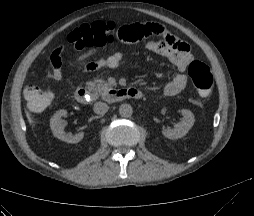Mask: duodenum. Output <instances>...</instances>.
<instances>
[{
	"label": "duodenum",
	"mask_w": 254,
	"mask_h": 216,
	"mask_svg": "<svg viewBox=\"0 0 254 216\" xmlns=\"http://www.w3.org/2000/svg\"><path fill=\"white\" fill-rule=\"evenodd\" d=\"M93 97V93L84 87L78 88L75 91V99L80 104H87ZM101 97L106 102H117L127 98H141L142 93L140 90L136 88H124V89H116L110 88L101 93Z\"/></svg>",
	"instance_id": "410a0bca"
}]
</instances>
